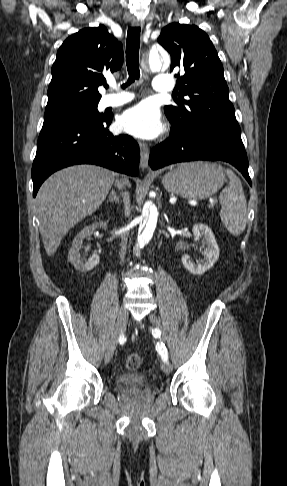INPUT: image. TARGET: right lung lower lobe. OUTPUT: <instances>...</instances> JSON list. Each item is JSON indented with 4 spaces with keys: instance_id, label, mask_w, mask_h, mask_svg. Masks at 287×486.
<instances>
[{
    "instance_id": "obj_1",
    "label": "right lung lower lobe",
    "mask_w": 287,
    "mask_h": 486,
    "mask_svg": "<svg viewBox=\"0 0 287 486\" xmlns=\"http://www.w3.org/2000/svg\"><path fill=\"white\" fill-rule=\"evenodd\" d=\"M113 115L81 124L41 130L32 166L33 196L55 171L75 164H96L131 176L139 173L140 151L128 135L108 131Z\"/></svg>"
}]
</instances>
